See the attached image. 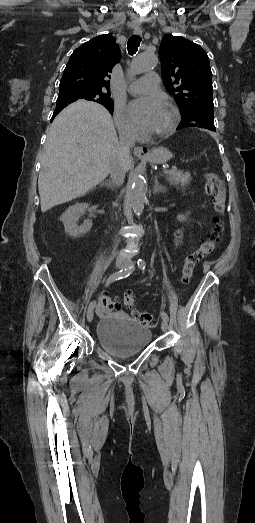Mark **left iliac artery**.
<instances>
[{
    "mask_svg": "<svg viewBox=\"0 0 255 523\" xmlns=\"http://www.w3.org/2000/svg\"><path fill=\"white\" fill-rule=\"evenodd\" d=\"M138 267H139V269L144 270L145 267H146V262H145L143 259H139V260H138ZM161 316H162V319H163V320H165V321L168 322L169 317H168V315H167L166 312H162V313H161Z\"/></svg>",
    "mask_w": 255,
    "mask_h": 523,
    "instance_id": "44dca946",
    "label": "left iliac artery"
}]
</instances>
